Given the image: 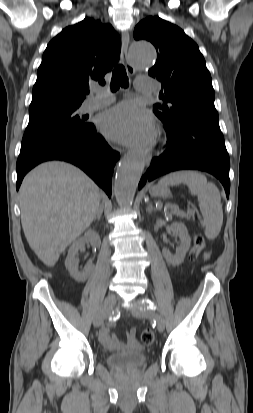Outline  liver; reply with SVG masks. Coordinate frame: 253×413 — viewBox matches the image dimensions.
I'll return each mask as SVG.
<instances>
[{
  "label": "liver",
  "mask_w": 253,
  "mask_h": 413,
  "mask_svg": "<svg viewBox=\"0 0 253 413\" xmlns=\"http://www.w3.org/2000/svg\"><path fill=\"white\" fill-rule=\"evenodd\" d=\"M21 223L31 249L46 266L92 223L99 209V187L80 169L45 162L20 187Z\"/></svg>",
  "instance_id": "obj_1"
}]
</instances>
